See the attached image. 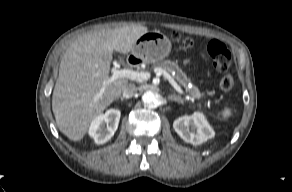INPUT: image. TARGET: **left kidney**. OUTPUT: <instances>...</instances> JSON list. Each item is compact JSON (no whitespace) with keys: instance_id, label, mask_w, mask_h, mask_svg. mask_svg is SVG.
<instances>
[{"instance_id":"obj_1","label":"left kidney","mask_w":292,"mask_h":192,"mask_svg":"<svg viewBox=\"0 0 292 192\" xmlns=\"http://www.w3.org/2000/svg\"><path fill=\"white\" fill-rule=\"evenodd\" d=\"M173 128L185 142L193 145L202 144L215 135L214 130L201 112L176 119L173 122Z\"/></svg>"}]
</instances>
